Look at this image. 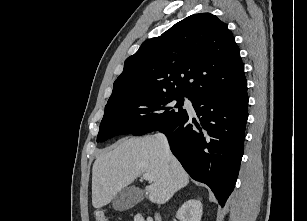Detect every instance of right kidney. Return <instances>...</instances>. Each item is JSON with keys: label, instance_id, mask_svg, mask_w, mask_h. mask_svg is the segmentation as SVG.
Wrapping results in <instances>:
<instances>
[{"label": "right kidney", "instance_id": "right-kidney-1", "mask_svg": "<svg viewBox=\"0 0 307 221\" xmlns=\"http://www.w3.org/2000/svg\"><path fill=\"white\" fill-rule=\"evenodd\" d=\"M202 211L203 207L201 201L190 199L184 202L178 209L176 218L180 221H201Z\"/></svg>", "mask_w": 307, "mask_h": 221}]
</instances>
